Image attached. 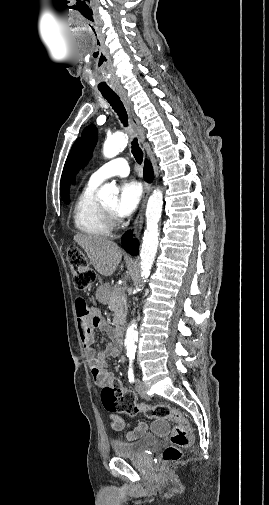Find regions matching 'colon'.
<instances>
[{"label":"colon","mask_w":269,"mask_h":505,"mask_svg":"<svg viewBox=\"0 0 269 505\" xmlns=\"http://www.w3.org/2000/svg\"><path fill=\"white\" fill-rule=\"evenodd\" d=\"M67 260L73 273L76 289L88 290L95 281V272L89 267L86 256L77 247H70ZM82 307H88L85 303ZM104 408L109 412L126 413L130 416L143 415L148 418H171L176 422L171 433V444L163 451L165 462H174L181 458L182 450L191 444L190 425L188 420L178 411L164 404L139 405L135 394L124 390L118 379L112 378L101 392Z\"/></svg>","instance_id":"obj_1"}]
</instances>
